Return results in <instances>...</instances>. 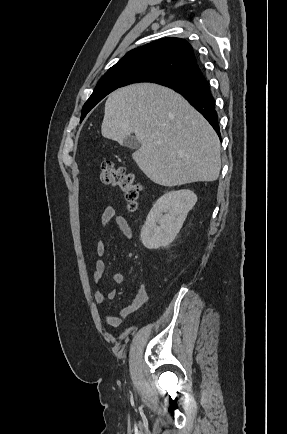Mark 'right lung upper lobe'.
Masks as SVG:
<instances>
[{"label": "right lung upper lobe", "mask_w": 287, "mask_h": 434, "mask_svg": "<svg viewBox=\"0 0 287 434\" xmlns=\"http://www.w3.org/2000/svg\"><path fill=\"white\" fill-rule=\"evenodd\" d=\"M198 67L191 45L181 38H162L128 52L103 77L119 73L157 69L180 75ZM102 77V78H103ZM177 81H167V86Z\"/></svg>", "instance_id": "cb5924a9"}]
</instances>
